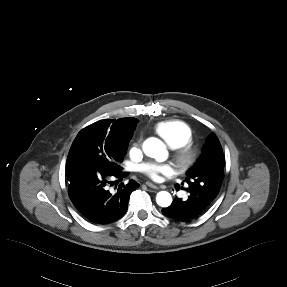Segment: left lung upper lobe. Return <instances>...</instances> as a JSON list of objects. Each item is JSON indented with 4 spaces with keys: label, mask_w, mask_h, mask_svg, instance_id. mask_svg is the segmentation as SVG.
<instances>
[{
    "label": "left lung upper lobe",
    "mask_w": 287,
    "mask_h": 287,
    "mask_svg": "<svg viewBox=\"0 0 287 287\" xmlns=\"http://www.w3.org/2000/svg\"><path fill=\"white\" fill-rule=\"evenodd\" d=\"M225 158L216 135L206 141L202 155L187 171V191L212 202L218 195L224 177Z\"/></svg>",
    "instance_id": "1"
}]
</instances>
